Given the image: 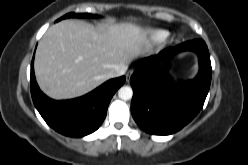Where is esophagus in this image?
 <instances>
[{
	"mask_svg": "<svg viewBox=\"0 0 248 165\" xmlns=\"http://www.w3.org/2000/svg\"><path fill=\"white\" fill-rule=\"evenodd\" d=\"M132 74H133V70H129V71L126 73V81H127V82H129L130 77H131Z\"/></svg>",
	"mask_w": 248,
	"mask_h": 165,
	"instance_id": "34e87169",
	"label": "esophagus"
}]
</instances>
